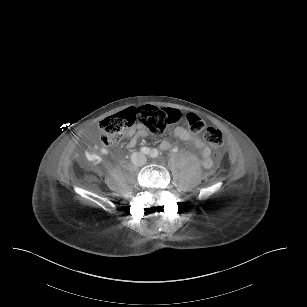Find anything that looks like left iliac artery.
I'll return each instance as SVG.
<instances>
[{
    "mask_svg": "<svg viewBox=\"0 0 307 307\" xmlns=\"http://www.w3.org/2000/svg\"><path fill=\"white\" fill-rule=\"evenodd\" d=\"M158 155H159V152L156 149L151 150V152H150L151 158H156V157H158Z\"/></svg>",
    "mask_w": 307,
    "mask_h": 307,
    "instance_id": "1",
    "label": "left iliac artery"
}]
</instances>
